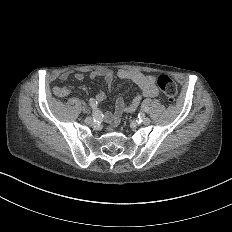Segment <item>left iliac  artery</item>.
Segmentation results:
<instances>
[{"mask_svg":"<svg viewBox=\"0 0 232 232\" xmlns=\"http://www.w3.org/2000/svg\"><path fill=\"white\" fill-rule=\"evenodd\" d=\"M144 119H145L144 113H143V112L138 113V115H137V120H138L139 122H141V121H143Z\"/></svg>","mask_w":232,"mask_h":232,"instance_id":"left-iliac-artery-1","label":"left iliac artery"}]
</instances>
